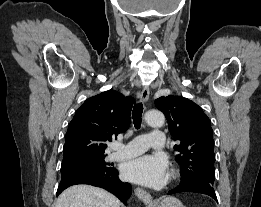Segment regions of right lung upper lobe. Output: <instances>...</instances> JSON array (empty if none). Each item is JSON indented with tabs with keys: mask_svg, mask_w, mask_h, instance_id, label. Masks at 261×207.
<instances>
[{
	"mask_svg": "<svg viewBox=\"0 0 261 207\" xmlns=\"http://www.w3.org/2000/svg\"><path fill=\"white\" fill-rule=\"evenodd\" d=\"M134 99L109 90L88 98L69 124L63 147V161L83 156L105 155V141L130 126Z\"/></svg>",
	"mask_w": 261,
	"mask_h": 207,
	"instance_id": "obj_1",
	"label": "right lung upper lobe"
}]
</instances>
